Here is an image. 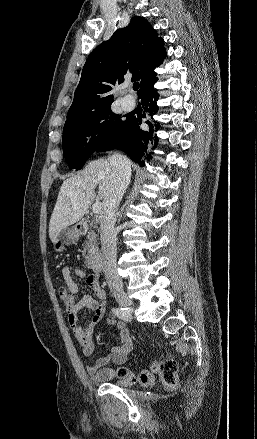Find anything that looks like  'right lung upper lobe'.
Masks as SVG:
<instances>
[{
  "mask_svg": "<svg viewBox=\"0 0 257 439\" xmlns=\"http://www.w3.org/2000/svg\"><path fill=\"white\" fill-rule=\"evenodd\" d=\"M163 43L143 17L135 16L127 27L116 30L87 58L66 122L111 106L112 89L126 75L141 80L140 97L166 56Z\"/></svg>",
  "mask_w": 257,
  "mask_h": 439,
  "instance_id": "cb5924a9",
  "label": "right lung upper lobe"
}]
</instances>
